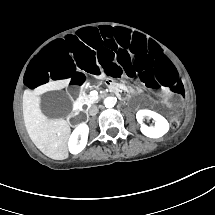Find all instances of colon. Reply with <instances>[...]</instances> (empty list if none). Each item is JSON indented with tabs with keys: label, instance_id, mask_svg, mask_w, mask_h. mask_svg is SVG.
<instances>
[{
	"label": "colon",
	"instance_id": "colon-1",
	"mask_svg": "<svg viewBox=\"0 0 215 215\" xmlns=\"http://www.w3.org/2000/svg\"><path fill=\"white\" fill-rule=\"evenodd\" d=\"M179 125H180V121L177 118H173L171 120V127L172 128L176 129L179 127Z\"/></svg>",
	"mask_w": 215,
	"mask_h": 215
}]
</instances>
